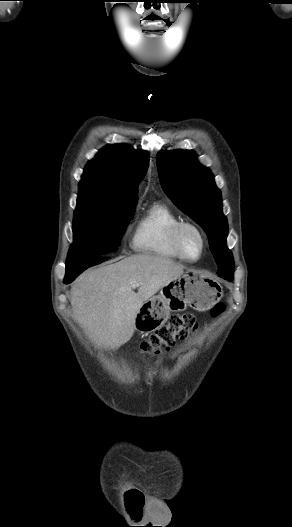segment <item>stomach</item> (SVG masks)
<instances>
[{"label": "stomach", "mask_w": 292, "mask_h": 527, "mask_svg": "<svg viewBox=\"0 0 292 527\" xmlns=\"http://www.w3.org/2000/svg\"><path fill=\"white\" fill-rule=\"evenodd\" d=\"M221 297L222 287L218 281L198 272H186L162 287L159 295L143 303L135 317V329L151 333L164 325L171 311H184L188 306L206 311Z\"/></svg>", "instance_id": "1"}]
</instances>
